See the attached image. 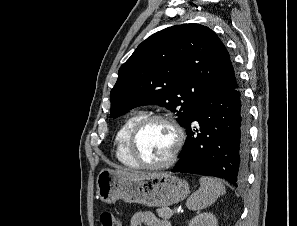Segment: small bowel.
<instances>
[{"label": "small bowel", "mask_w": 297, "mask_h": 226, "mask_svg": "<svg viewBox=\"0 0 297 226\" xmlns=\"http://www.w3.org/2000/svg\"><path fill=\"white\" fill-rule=\"evenodd\" d=\"M130 226H170L168 221L150 212H136L130 219Z\"/></svg>", "instance_id": "obj_1"}]
</instances>
